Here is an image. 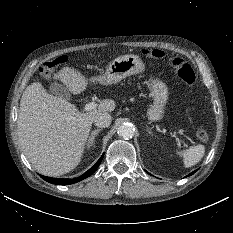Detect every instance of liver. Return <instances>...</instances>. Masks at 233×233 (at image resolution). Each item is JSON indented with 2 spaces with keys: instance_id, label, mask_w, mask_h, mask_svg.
<instances>
[{
  "instance_id": "liver-1",
  "label": "liver",
  "mask_w": 233,
  "mask_h": 233,
  "mask_svg": "<svg viewBox=\"0 0 233 233\" xmlns=\"http://www.w3.org/2000/svg\"><path fill=\"white\" fill-rule=\"evenodd\" d=\"M53 78L74 95L88 85V79L71 67L62 68ZM114 109L115 102L105 99L98 109L80 112L67 100L47 93L41 83L30 84L22 94L17 120L26 157L43 175L60 176L72 171L81 161L95 116Z\"/></svg>"
}]
</instances>
